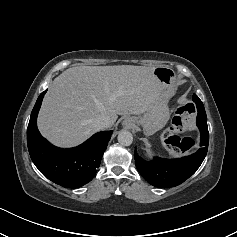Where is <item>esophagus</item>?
Listing matches in <instances>:
<instances>
[{
    "instance_id": "1",
    "label": "esophagus",
    "mask_w": 237,
    "mask_h": 237,
    "mask_svg": "<svg viewBox=\"0 0 237 237\" xmlns=\"http://www.w3.org/2000/svg\"><path fill=\"white\" fill-rule=\"evenodd\" d=\"M123 125L126 127V128H132L134 126V120L132 118H126L124 121H123Z\"/></svg>"
}]
</instances>
